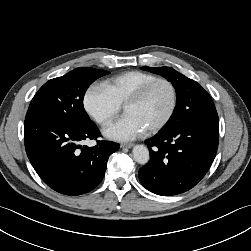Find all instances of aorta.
I'll return each mask as SVG.
<instances>
[{
    "instance_id": "obj_1",
    "label": "aorta",
    "mask_w": 251,
    "mask_h": 251,
    "mask_svg": "<svg viewBox=\"0 0 251 251\" xmlns=\"http://www.w3.org/2000/svg\"><path fill=\"white\" fill-rule=\"evenodd\" d=\"M132 153H133V158L137 163L141 165H145L146 163H148L150 154L146 146L136 145L133 147Z\"/></svg>"
}]
</instances>
